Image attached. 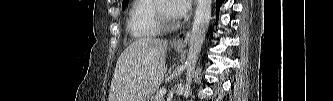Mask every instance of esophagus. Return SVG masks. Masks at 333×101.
Here are the masks:
<instances>
[{
    "mask_svg": "<svg viewBox=\"0 0 333 101\" xmlns=\"http://www.w3.org/2000/svg\"><path fill=\"white\" fill-rule=\"evenodd\" d=\"M190 33L187 31L180 32L174 39L173 45L176 47H185L189 41Z\"/></svg>",
    "mask_w": 333,
    "mask_h": 101,
    "instance_id": "esophagus-1",
    "label": "esophagus"
}]
</instances>
